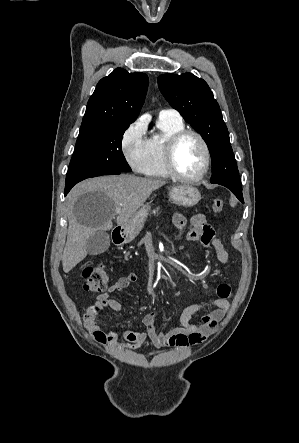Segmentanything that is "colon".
Wrapping results in <instances>:
<instances>
[{
    "label": "colon",
    "instance_id": "obj_1",
    "mask_svg": "<svg viewBox=\"0 0 299 443\" xmlns=\"http://www.w3.org/2000/svg\"><path fill=\"white\" fill-rule=\"evenodd\" d=\"M215 213H220L224 209V201L220 198H215L212 205ZM84 288L89 292H99L107 287L109 279L107 274V267L104 264H99L95 267L88 266L83 270Z\"/></svg>",
    "mask_w": 299,
    "mask_h": 443
}]
</instances>
